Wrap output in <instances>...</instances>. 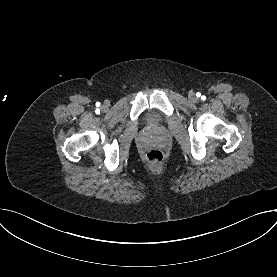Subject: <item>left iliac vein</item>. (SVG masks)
<instances>
[{
    "mask_svg": "<svg viewBox=\"0 0 277 277\" xmlns=\"http://www.w3.org/2000/svg\"><path fill=\"white\" fill-rule=\"evenodd\" d=\"M189 99H190L191 101H193V102H195V101L197 100V98H196V96H195L194 93L189 94Z\"/></svg>",
    "mask_w": 277,
    "mask_h": 277,
    "instance_id": "4c4485c4",
    "label": "left iliac vein"
}]
</instances>
